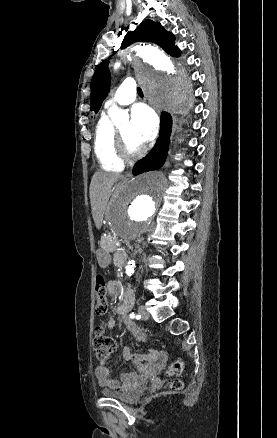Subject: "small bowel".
Returning <instances> with one entry per match:
<instances>
[{
	"instance_id": "1",
	"label": "small bowel",
	"mask_w": 277,
	"mask_h": 438,
	"mask_svg": "<svg viewBox=\"0 0 277 438\" xmlns=\"http://www.w3.org/2000/svg\"><path fill=\"white\" fill-rule=\"evenodd\" d=\"M108 293L111 296H117L120 293L119 285L112 281L108 284ZM135 303V293L131 287H128L123 296L122 303L117 306L116 312L119 315H124L129 312ZM125 327L132 335L139 341H144V336L139 327L132 321H125ZM106 326L108 329H113L116 326V319L110 317ZM122 355L126 360H131L135 364V371L124 373L120 376V379H113L110 376L109 362L107 360H100L95 367V375L98 384L102 387L112 390L128 391L135 387L142 377V375L148 373L151 369L150 363L156 361L159 367H162L167 362V355L162 351H151L148 354H132L131 347L125 346L122 351Z\"/></svg>"
}]
</instances>
